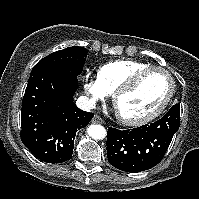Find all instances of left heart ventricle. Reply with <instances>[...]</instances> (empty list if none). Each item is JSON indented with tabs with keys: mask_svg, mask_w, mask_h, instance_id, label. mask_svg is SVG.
Instances as JSON below:
<instances>
[{
	"mask_svg": "<svg viewBox=\"0 0 199 199\" xmlns=\"http://www.w3.org/2000/svg\"><path fill=\"white\" fill-rule=\"evenodd\" d=\"M169 87V79L164 73L145 74L131 92L119 99L118 111L131 118L149 114L165 99Z\"/></svg>",
	"mask_w": 199,
	"mask_h": 199,
	"instance_id": "b2bd125f",
	"label": "left heart ventricle"
}]
</instances>
